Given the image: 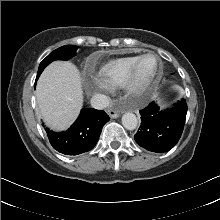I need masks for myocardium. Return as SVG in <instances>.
<instances>
[{
  "mask_svg": "<svg viewBox=\"0 0 220 220\" xmlns=\"http://www.w3.org/2000/svg\"><path fill=\"white\" fill-rule=\"evenodd\" d=\"M147 57H153L156 60L157 66L155 72L150 77L142 78L139 73V68L142 61ZM160 71H161V61L159 57L154 53H146L140 56L135 62L134 66L132 67L128 75L124 87L130 94L140 95L154 82V80L160 74Z\"/></svg>",
  "mask_w": 220,
  "mask_h": 220,
  "instance_id": "1",
  "label": "myocardium"
}]
</instances>
